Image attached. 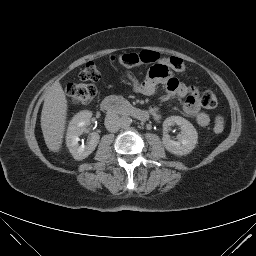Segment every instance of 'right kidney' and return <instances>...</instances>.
<instances>
[{
	"label": "right kidney",
	"mask_w": 256,
	"mask_h": 256,
	"mask_svg": "<svg viewBox=\"0 0 256 256\" xmlns=\"http://www.w3.org/2000/svg\"><path fill=\"white\" fill-rule=\"evenodd\" d=\"M91 117L90 111H81L72 118L67 129L66 145L74 159L79 161L88 157L95 150L100 139L99 134L93 132L86 145H79V137L86 131Z\"/></svg>",
	"instance_id": "right-kidney-1"
}]
</instances>
